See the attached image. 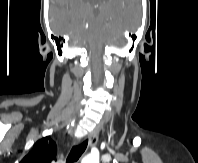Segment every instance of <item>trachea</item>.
I'll return each mask as SVG.
<instances>
[{"instance_id":"trachea-1","label":"trachea","mask_w":198,"mask_h":163,"mask_svg":"<svg viewBox=\"0 0 198 163\" xmlns=\"http://www.w3.org/2000/svg\"><path fill=\"white\" fill-rule=\"evenodd\" d=\"M87 144H88V140H85L81 144H79L77 146H74L72 148L71 152L69 153V156H68V158L66 160V163H73V162L78 161V159L80 158V156L86 150Z\"/></svg>"}]
</instances>
